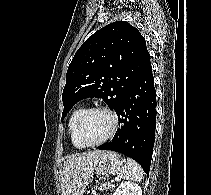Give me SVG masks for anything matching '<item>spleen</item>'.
Listing matches in <instances>:
<instances>
[{
  "label": "spleen",
  "instance_id": "1",
  "mask_svg": "<svg viewBox=\"0 0 211 195\" xmlns=\"http://www.w3.org/2000/svg\"><path fill=\"white\" fill-rule=\"evenodd\" d=\"M120 176L126 180L141 181L143 177V169L137 162L131 158H127V162L120 170Z\"/></svg>",
  "mask_w": 211,
  "mask_h": 195
}]
</instances>
